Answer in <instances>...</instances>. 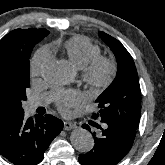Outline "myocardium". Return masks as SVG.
I'll list each match as a JSON object with an SVG mask.
<instances>
[{
  "instance_id": "1",
  "label": "myocardium",
  "mask_w": 165,
  "mask_h": 165,
  "mask_svg": "<svg viewBox=\"0 0 165 165\" xmlns=\"http://www.w3.org/2000/svg\"><path fill=\"white\" fill-rule=\"evenodd\" d=\"M117 74L115 61L99 55L82 68V81L90 90L102 92L111 86Z\"/></svg>"
}]
</instances>
